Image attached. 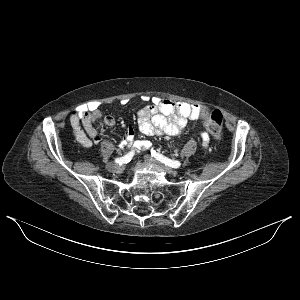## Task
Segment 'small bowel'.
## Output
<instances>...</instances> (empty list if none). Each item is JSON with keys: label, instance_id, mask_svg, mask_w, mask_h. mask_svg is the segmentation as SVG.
Returning <instances> with one entry per match:
<instances>
[{"label": "small bowel", "instance_id": "obj_1", "mask_svg": "<svg viewBox=\"0 0 300 300\" xmlns=\"http://www.w3.org/2000/svg\"><path fill=\"white\" fill-rule=\"evenodd\" d=\"M146 101L150 104L142 107L137 114L138 130L144 136L154 135H180L187 124L191 120L199 117L200 106L189 104L187 102H174L161 97H146ZM128 100H121L122 105H126ZM100 104L96 101H91L80 106L71 117V124L74 129L79 143L84 147H90L99 141L98 133L95 124L101 119ZM81 121L83 131L78 126ZM104 123L107 126L115 125V119L111 115L104 117ZM200 138L203 146L207 147L210 142V137L207 132H202ZM121 147L132 146L137 150H146L151 146L148 140H135V133L132 128H128L125 132Z\"/></svg>", "mask_w": 300, "mask_h": 300}]
</instances>
